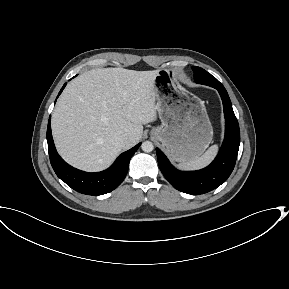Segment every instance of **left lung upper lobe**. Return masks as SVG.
<instances>
[{"instance_id":"5c2ea615","label":"left lung upper lobe","mask_w":289,"mask_h":289,"mask_svg":"<svg viewBox=\"0 0 289 289\" xmlns=\"http://www.w3.org/2000/svg\"><path fill=\"white\" fill-rule=\"evenodd\" d=\"M194 81L199 84L208 85L214 88L224 87L214 76L200 67H192Z\"/></svg>"}]
</instances>
